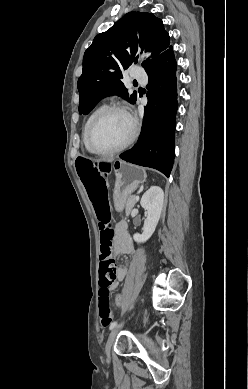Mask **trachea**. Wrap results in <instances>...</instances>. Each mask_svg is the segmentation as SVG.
<instances>
[{
    "label": "trachea",
    "mask_w": 248,
    "mask_h": 389,
    "mask_svg": "<svg viewBox=\"0 0 248 389\" xmlns=\"http://www.w3.org/2000/svg\"><path fill=\"white\" fill-rule=\"evenodd\" d=\"M133 83H134V84H135V83L137 84V82H136V81H134Z\"/></svg>",
    "instance_id": "1"
}]
</instances>
